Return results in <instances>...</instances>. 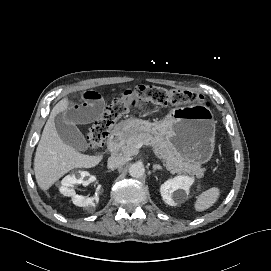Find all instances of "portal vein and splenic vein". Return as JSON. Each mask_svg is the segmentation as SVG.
Instances as JSON below:
<instances>
[{
	"label": "portal vein and splenic vein",
	"instance_id": "18ae733b",
	"mask_svg": "<svg viewBox=\"0 0 271 271\" xmlns=\"http://www.w3.org/2000/svg\"><path fill=\"white\" fill-rule=\"evenodd\" d=\"M142 145H143V144L139 143V144L136 145V148L139 149V148L142 147Z\"/></svg>",
	"mask_w": 271,
	"mask_h": 271
}]
</instances>
